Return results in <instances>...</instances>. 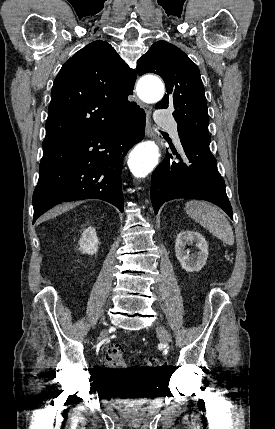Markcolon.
<instances>
[{
  "label": "colon",
  "instance_id": "obj_1",
  "mask_svg": "<svg viewBox=\"0 0 275 429\" xmlns=\"http://www.w3.org/2000/svg\"><path fill=\"white\" fill-rule=\"evenodd\" d=\"M108 364L112 367L117 374L123 375L126 373V367L124 365V348L121 344L114 345L108 352L107 357ZM147 367L151 369H159L162 367L160 359L152 357L146 361Z\"/></svg>",
  "mask_w": 275,
  "mask_h": 429
}]
</instances>
